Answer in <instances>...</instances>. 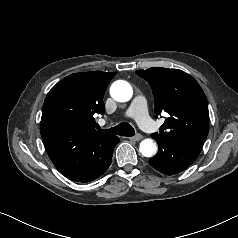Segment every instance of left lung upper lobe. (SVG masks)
I'll return each instance as SVG.
<instances>
[{
  "label": "left lung upper lobe",
  "mask_w": 238,
  "mask_h": 238,
  "mask_svg": "<svg viewBox=\"0 0 238 238\" xmlns=\"http://www.w3.org/2000/svg\"><path fill=\"white\" fill-rule=\"evenodd\" d=\"M136 74L151 86L155 113H167V119L155 140H171L201 149L209 131L206 96L198 82L179 69L152 67Z\"/></svg>",
  "instance_id": "5c2ea615"
}]
</instances>
